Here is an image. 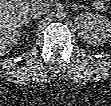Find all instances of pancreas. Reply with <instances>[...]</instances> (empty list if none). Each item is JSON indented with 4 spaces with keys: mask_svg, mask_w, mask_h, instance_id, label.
<instances>
[{
    "mask_svg": "<svg viewBox=\"0 0 111 106\" xmlns=\"http://www.w3.org/2000/svg\"><path fill=\"white\" fill-rule=\"evenodd\" d=\"M91 5H92V7H94L95 9H97L101 12H105L107 10V6L105 5L104 0L91 1Z\"/></svg>",
    "mask_w": 111,
    "mask_h": 106,
    "instance_id": "pancreas-1",
    "label": "pancreas"
}]
</instances>
